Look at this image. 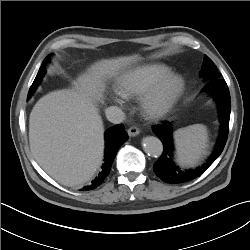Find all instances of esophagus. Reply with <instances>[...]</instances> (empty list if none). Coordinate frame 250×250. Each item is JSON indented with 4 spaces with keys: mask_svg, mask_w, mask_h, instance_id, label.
I'll return each instance as SVG.
<instances>
[{
    "mask_svg": "<svg viewBox=\"0 0 250 250\" xmlns=\"http://www.w3.org/2000/svg\"><path fill=\"white\" fill-rule=\"evenodd\" d=\"M127 133L130 137H134V136H137L139 135L140 133V129L137 128L136 126H132L130 127L128 130H127Z\"/></svg>",
    "mask_w": 250,
    "mask_h": 250,
    "instance_id": "obj_1",
    "label": "esophagus"
}]
</instances>
